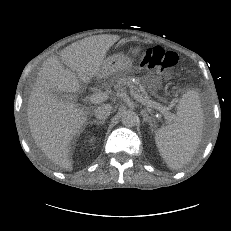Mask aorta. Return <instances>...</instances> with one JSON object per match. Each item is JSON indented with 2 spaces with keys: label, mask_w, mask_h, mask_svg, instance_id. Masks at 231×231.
I'll return each mask as SVG.
<instances>
[{
  "label": "aorta",
  "mask_w": 231,
  "mask_h": 231,
  "mask_svg": "<svg viewBox=\"0 0 231 231\" xmlns=\"http://www.w3.org/2000/svg\"><path fill=\"white\" fill-rule=\"evenodd\" d=\"M138 121V116L134 111H126L122 115V123L127 127H133Z\"/></svg>",
  "instance_id": "762f6f07"
}]
</instances>
